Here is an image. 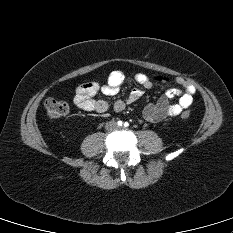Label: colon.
<instances>
[{
    "label": "colon",
    "mask_w": 233,
    "mask_h": 233,
    "mask_svg": "<svg viewBox=\"0 0 233 233\" xmlns=\"http://www.w3.org/2000/svg\"><path fill=\"white\" fill-rule=\"evenodd\" d=\"M44 107L47 115L51 119H58L65 116L69 110L70 106L66 101L57 100L55 98H47L44 102ZM191 115L190 111H183L181 117L183 119L189 118Z\"/></svg>",
    "instance_id": "obj_1"
}]
</instances>
